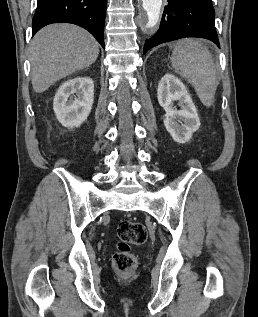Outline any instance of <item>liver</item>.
<instances>
[{"mask_svg":"<svg viewBox=\"0 0 258 317\" xmlns=\"http://www.w3.org/2000/svg\"><path fill=\"white\" fill-rule=\"evenodd\" d=\"M99 44L94 36L75 24H49L30 42L31 80L35 92L95 62Z\"/></svg>","mask_w":258,"mask_h":317,"instance_id":"liver-1","label":"liver"}]
</instances>
